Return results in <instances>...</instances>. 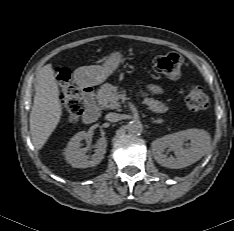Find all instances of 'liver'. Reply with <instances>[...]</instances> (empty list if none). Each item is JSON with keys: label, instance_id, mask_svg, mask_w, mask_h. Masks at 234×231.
Here are the masks:
<instances>
[{"label": "liver", "instance_id": "obj_1", "mask_svg": "<svg viewBox=\"0 0 234 231\" xmlns=\"http://www.w3.org/2000/svg\"><path fill=\"white\" fill-rule=\"evenodd\" d=\"M62 114L60 91L54 70L52 64H47L39 71L29 119L32 142L37 150L47 142L58 126Z\"/></svg>", "mask_w": 234, "mask_h": 231}]
</instances>
